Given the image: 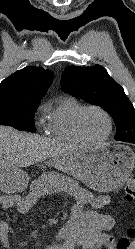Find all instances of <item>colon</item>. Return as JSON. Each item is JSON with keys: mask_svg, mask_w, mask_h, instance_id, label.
Instances as JSON below:
<instances>
[{"mask_svg": "<svg viewBox=\"0 0 135 249\" xmlns=\"http://www.w3.org/2000/svg\"><path fill=\"white\" fill-rule=\"evenodd\" d=\"M125 196L130 201L135 200V175L131 176L126 183ZM133 239H135V229L130 228L117 242V249H129Z\"/></svg>", "mask_w": 135, "mask_h": 249, "instance_id": "5ec220e1", "label": "colon"}]
</instances>
